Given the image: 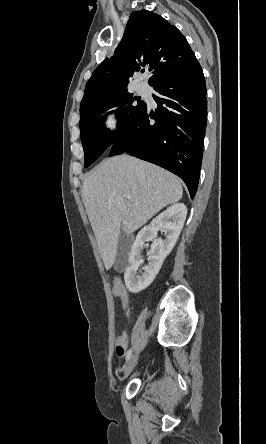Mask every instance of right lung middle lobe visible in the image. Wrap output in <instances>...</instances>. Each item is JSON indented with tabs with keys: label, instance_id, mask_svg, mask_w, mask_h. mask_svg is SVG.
<instances>
[{
	"label": "right lung middle lobe",
	"instance_id": "obj_1",
	"mask_svg": "<svg viewBox=\"0 0 266 444\" xmlns=\"http://www.w3.org/2000/svg\"><path fill=\"white\" fill-rule=\"evenodd\" d=\"M137 100V103H133ZM118 119V131L109 132L104 126L106 116L111 108ZM146 107L127 89L117 90L100 96L80 106V131L84 148V166L88 167L97 160L103 152L112 145L118 133L138 118ZM120 130V131H119Z\"/></svg>",
	"mask_w": 266,
	"mask_h": 444
}]
</instances>
